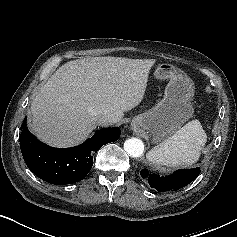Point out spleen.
<instances>
[{
    "label": "spleen",
    "instance_id": "obj_1",
    "mask_svg": "<svg viewBox=\"0 0 237 237\" xmlns=\"http://www.w3.org/2000/svg\"><path fill=\"white\" fill-rule=\"evenodd\" d=\"M207 135L199 120L188 122L171 137L148 152L150 162L169 166H190L198 161Z\"/></svg>",
    "mask_w": 237,
    "mask_h": 237
}]
</instances>
